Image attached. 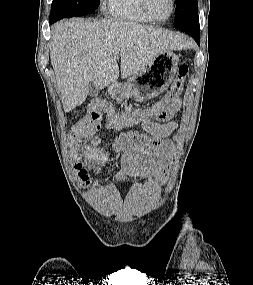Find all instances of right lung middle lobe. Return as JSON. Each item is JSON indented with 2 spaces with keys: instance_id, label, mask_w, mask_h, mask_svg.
I'll list each match as a JSON object with an SVG mask.
<instances>
[{
  "instance_id": "right-lung-middle-lobe-1",
  "label": "right lung middle lobe",
  "mask_w": 253,
  "mask_h": 285,
  "mask_svg": "<svg viewBox=\"0 0 253 285\" xmlns=\"http://www.w3.org/2000/svg\"><path fill=\"white\" fill-rule=\"evenodd\" d=\"M99 6L98 0H53L50 18L77 17L93 12Z\"/></svg>"
}]
</instances>
